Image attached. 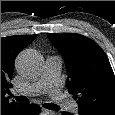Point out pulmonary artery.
Segmentation results:
<instances>
[{
    "label": "pulmonary artery",
    "mask_w": 115,
    "mask_h": 115,
    "mask_svg": "<svg viewBox=\"0 0 115 115\" xmlns=\"http://www.w3.org/2000/svg\"><path fill=\"white\" fill-rule=\"evenodd\" d=\"M61 66L62 61L60 57H48L40 79L29 84L21 91V93L27 96L48 93L53 100L59 102L66 110L76 111L78 105L66 99L59 88Z\"/></svg>",
    "instance_id": "obj_1"
}]
</instances>
